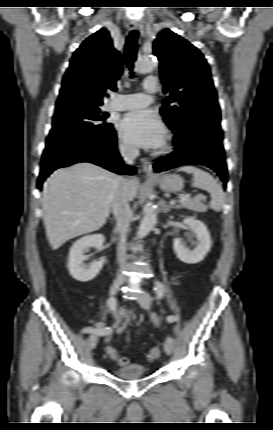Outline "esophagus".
I'll return each instance as SVG.
<instances>
[{
    "instance_id": "obj_1",
    "label": "esophagus",
    "mask_w": 273,
    "mask_h": 430,
    "mask_svg": "<svg viewBox=\"0 0 273 430\" xmlns=\"http://www.w3.org/2000/svg\"><path fill=\"white\" fill-rule=\"evenodd\" d=\"M127 28L129 31H133V30H137L139 28V24L137 22H130L127 25ZM141 168L142 171L148 175V176H152L153 175V167H152V163L149 159L147 158H143L141 161Z\"/></svg>"
}]
</instances>
